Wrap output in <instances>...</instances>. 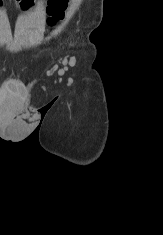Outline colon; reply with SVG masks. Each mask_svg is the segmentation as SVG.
<instances>
[{"instance_id":"colon-1","label":"colon","mask_w":163,"mask_h":235,"mask_svg":"<svg viewBox=\"0 0 163 235\" xmlns=\"http://www.w3.org/2000/svg\"><path fill=\"white\" fill-rule=\"evenodd\" d=\"M35 0H18L23 9H29L34 5ZM70 0H48L47 22L50 25L58 24L64 17L65 10Z\"/></svg>"}]
</instances>
